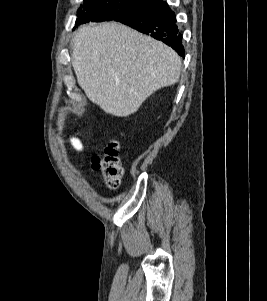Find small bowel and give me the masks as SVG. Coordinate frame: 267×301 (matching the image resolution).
Instances as JSON below:
<instances>
[{"instance_id": "small-bowel-1", "label": "small bowel", "mask_w": 267, "mask_h": 301, "mask_svg": "<svg viewBox=\"0 0 267 301\" xmlns=\"http://www.w3.org/2000/svg\"><path fill=\"white\" fill-rule=\"evenodd\" d=\"M70 144L76 151H82L83 150V143L81 139L77 136H72L70 138Z\"/></svg>"}]
</instances>
